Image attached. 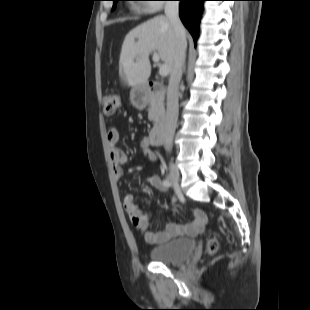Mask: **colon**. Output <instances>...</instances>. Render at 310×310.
<instances>
[{
  "label": "colon",
  "instance_id": "5ec220e1",
  "mask_svg": "<svg viewBox=\"0 0 310 310\" xmlns=\"http://www.w3.org/2000/svg\"><path fill=\"white\" fill-rule=\"evenodd\" d=\"M101 104L105 113L113 114L118 108L119 98L115 93H106L101 98ZM207 249L210 254H214L218 250V241L216 239H210Z\"/></svg>",
  "mask_w": 310,
  "mask_h": 310
}]
</instances>
